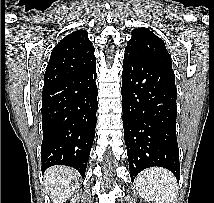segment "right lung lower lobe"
<instances>
[{
  "label": "right lung lower lobe",
  "instance_id": "98d812e1",
  "mask_svg": "<svg viewBox=\"0 0 214 203\" xmlns=\"http://www.w3.org/2000/svg\"><path fill=\"white\" fill-rule=\"evenodd\" d=\"M96 64L43 87L42 171L53 165L75 168L84 176L96 127Z\"/></svg>",
  "mask_w": 214,
  "mask_h": 203
}]
</instances>
